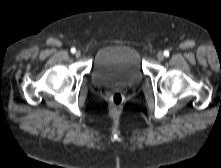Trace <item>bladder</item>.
Wrapping results in <instances>:
<instances>
[{
  "label": "bladder",
  "instance_id": "1",
  "mask_svg": "<svg viewBox=\"0 0 221 168\" xmlns=\"http://www.w3.org/2000/svg\"><path fill=\"white\" fill-rule=\"evenodd\" d=\"M144 76L139 51L129 45H110L96 55L91 80L97 86H132Z\"/></svg>",
  "mask_w": 221,
  "mask_h": 168
}]
</instances>
